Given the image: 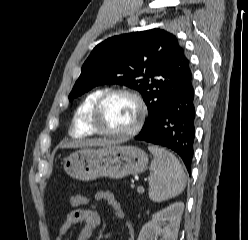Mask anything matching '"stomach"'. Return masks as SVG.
I'll return each instance as SVG.
<instances>
[{
	"instance_id": "stomach-1",
	"label": "stomach",
	"mask_w": 248,
	"mask_h": 240,
	"mask_svg": "<svg viewBox=\"0 0 248 240\" xmlns=\"http://www.w3.org/2000/svg\"><path fill=\"white\" fill-rule=\"evenodd\" d=\"M148 164L147 154L135 146L108 145L99 149H81L64 159L63 168L71 177L91 181L99 177L121 179L138 174Z\"/></svg>"
}]
</instances>
